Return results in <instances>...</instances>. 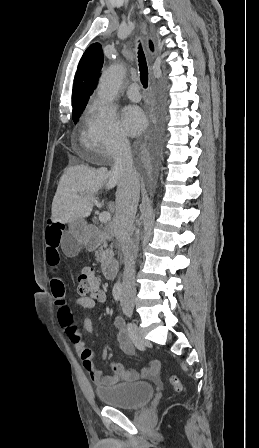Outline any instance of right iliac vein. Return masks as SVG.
I'll return each mask as SVG.
<instances>
[{
  "label": "right iliac vein",
  "instance_id": "63e3f726",
  "mask_svg": "<svg viewBox=\"0 0 259 448\" xmlns=\"http://www.w3.org/2000/svg\"><path fill=\"white\" fill-rule=\"evenodd\" d=\"M128 306L133 309L134 303L132 301L127 302Z\"/></svg>",
  "mask_w": 259,
  "mask_h": 448
}]
</instances>
